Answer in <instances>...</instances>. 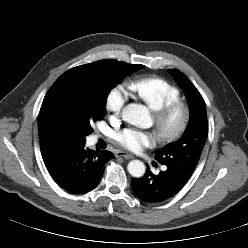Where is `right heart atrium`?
Here are the masks:
<instances>
[{
	"label": "right heart atrium",
	"mask_w": 248,
	"mask_h": 248,
	"mask_svg": "<svg viewBox=\"0 0 248 248\" xmlns=\"http://www.w3.org/2000/svg\"><path fill=\"white\" fill-rule=\"evenodd\" d=\"M128 100L127 92L121 85L113 86L105 98V106L114 117H119Z\"/></svg>",
	"instance_id": "1"
}]
</instances>
